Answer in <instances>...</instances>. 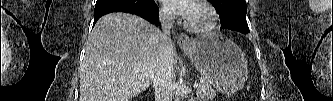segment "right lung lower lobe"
Listing matches in <instances>:
<instances>
[{
    "label": "right lung lower lobe",
    "mask_w": 333,
    "mask_h": 101,
    "mask_svg": "<svg viewBox=\"0 0 333 101\" xmlns=\"http://www.w3.org/2000/svg\"><path fill=\"white\" fill-rule=\"evenodd\" d=\"M158 11L154 0H97L93 25L100 17L112 12L132 13L151 23H157L159 21Z\"/></svg>",
    "instance_id": "1"
}]
</instances>
